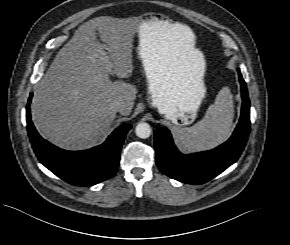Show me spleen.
I'll use <instances>...</instances> for the list:
<instances>
[{
  "instance_id": "1",
  "label": "spleen",
  "mask_w": 290,
  "mask_h": 245,
  "mask_svg": "<svg viewBox=\"0 0 290 245\" xmlns=\"http://www.w3.org/2000/svg\"><path fill=\"white\" fill-rule=\"evenodd\" d=\"M233 117V96L228 87H223L203 119L190 128L175 127L174 130L184 148L191 151L206 150L229 137Z\"/></svg>"
}]
</instances>
